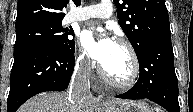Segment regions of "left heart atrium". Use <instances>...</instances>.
Returning a JSON list of instances; mask_svg holds the SVG:
<instances>
[{
  "label": "left heart atrium",
  "instance_id": "left-heart-atrium-1",
  "mask_svg": "<svg viewBox=\"0 0 193 112\" xmlns=\"http://www.w3.org/2000/svg\"><path fill=\"white\" fill-rule=\"evenodd\" d=\"M79 41L85 53L101 66L107 62L116 44L101 27L84 30Z\"/></svg>",
  "mask_w": 193,
  "mask_h": 112
}]
</instances>
